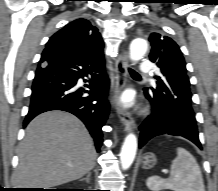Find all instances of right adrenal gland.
<instances>
[{"label":"right adrenal gland","mask_w":218,"mask_h":191,"mask_svg":"<svg viewBox=\"0 0 218 191\" xmlns=\"http://www.w3.org/2000/svg\"><path fill=\"white\" fill-rule=\"evenodd\" d=\"M90 176H91V172H89L85 178H82L81 181L85 180L87 183H89L90 182Z\"/></svg>","instance_id":"right-adrenal-gland-1"}]
</instances>
